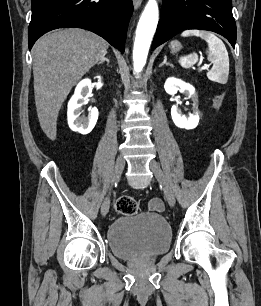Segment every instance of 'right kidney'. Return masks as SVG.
<instances>
[{
    "label": "right kidney",
    "instance_id": "right-kidney-1",
    "mask_svg": "<svg viewBox=\"0 0 261 306\" xmlns=\"http://www.w3.org/2000/svg\"><path fill=\"white\" fill-rule=\"evenodd\" d=\"M100 79V76L97 77ZM92 91V84L90 79H84L80 81L76 88L74 95L68 102V124L72 131L80 134H88L94 128L98 119L97 108H91L87 118L80 117V108L87 102L88 97Z\"/></svg>",
    "mask_w": 261,
    "mask_h": 306
}]
</instances>
